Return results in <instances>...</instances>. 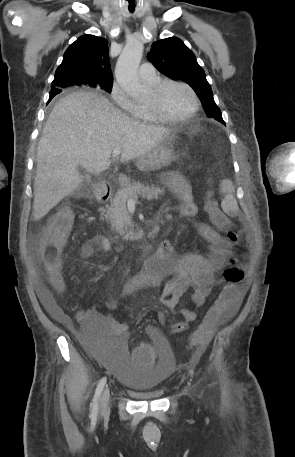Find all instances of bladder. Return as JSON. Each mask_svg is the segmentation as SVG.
Wrapping results in <instances>:
<instances>
[{
  "instance_id": "obj_1",
  "label": "bladder",
  "mask_w": 295,
  "mask_h": 457,
  "mask_svg": "<svg viewBox=\"0 0 295 457\" xmlns=\"http://www.w3.org/2000/svg\"><path fill=\"white\" fill-rule=\"evenodd\" d=\"M85 356H94L99 365H107L113 371L119 383L143 399L161 398L171 377V370L176 368V361L171 359V345H158L154 366L140 370L132 366L127 338H83Z\"/></svg>"
}]
</instances>
